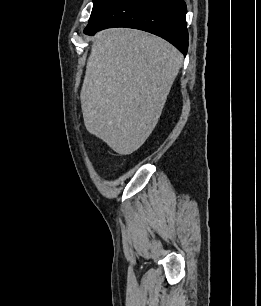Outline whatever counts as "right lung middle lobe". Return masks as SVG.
Listing matches in <instances>:
<instances>
[{
  "instance_id": "right-lung-middle-lobe-1",
  "label": "right lung middle lobe",
  "mask_w": 261,
  "mask_h": 306,
  "mask_svg": "<svg viewBox=\"0 0 261 306\" xmlns=\"http://www.w3.org/2000/svg\"><path fill=\"white\" fill-rule=\"evenodd\" d=\"M112 0H93V9L89 19L92 22Z\"/></svg>"
}]
</instances>
